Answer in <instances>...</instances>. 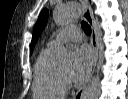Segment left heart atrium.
<instances>
[{
  "label": "left heart atrium",
  "instance_id": "left-heart-atrium-1",
  "mask_svg": "<svg viewBox=\"0 0 128 99\" xmlns=\"http://www.w3.org/2000/svg\"><path fill=\"white\" fill-rule=\"evenodd\" d=\"M92 63V54L86 47H82L74 53L73 65L71 68V78L82 81L88 74Z\"/></svg>",
  "mask_w": 128,
  "mask_h": 99
}]
</instances>
